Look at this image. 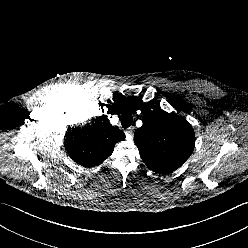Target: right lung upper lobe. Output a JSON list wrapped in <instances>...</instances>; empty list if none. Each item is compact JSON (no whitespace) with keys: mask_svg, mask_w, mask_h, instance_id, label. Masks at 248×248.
<instances>
[{"mask_svg":"<svg viewBox=\"0 0 248 248\" xmlns=\"http://www.w3.org/2000/svg\"><path fill=\"white\" fill-rule=\"evenodd\" d=\"M124 139L122 130L112 126L107 116H100L84 127L68 129L64 146L75 162L94 167L107 159L115 144Z\"/></svg>","mask_w":248,"mask_h":248,"instance_id":"cb5924a9","label":"right lung upper lobe"}]
</instances>
